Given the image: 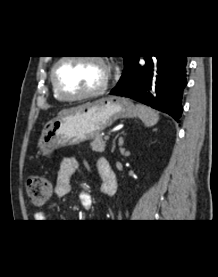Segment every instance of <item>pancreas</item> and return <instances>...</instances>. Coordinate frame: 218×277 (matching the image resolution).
Segmentation results:
<instances>
[{
    "instance_id": "1",
    "label": "pancreas",
    "mask_w": 218,
    "mask_h": 277,
    "mask_svg": "<svg viewBox=\"0 0 218 277\" xmlns=\"http://www.w3.org/2000/svg\"><path fill=\"white\" fill-rule=\"evenodd\" d=\"M105 145V141H103L102 136L99 135L92 140L90 143V148L95 152L102 153L105 150Z\"/></svg>"
}]
</instances>
